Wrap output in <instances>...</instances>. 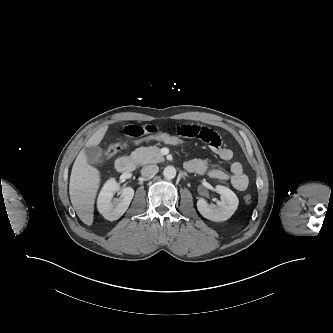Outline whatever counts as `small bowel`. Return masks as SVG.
<instances>
[{"instance_id":"c3829d8e","label":"small bowel","mask_w":333,"mask_h":333,"mask_svg":"<svg viewBox=\"0 0 333 333\" xmlns=\"http://www.w3.org/2000/svg\"><path fill=\"white\" fill-rule=\"evenodd\" d=\"M159 128L151 124H130L124 127V132L131 137H144L158 133ZM172 131L183 138H198L208 144L212 152L220 159L229 161L233 157L232 150L222 141L214 130L198 123L180 121L172 126ZM185 168L193 173L207 174L213 179L229 181L238 191H244L249 184L248 176L245 174L240 162H233L230 171L211 167L204 159H191L185 163Z\"/></svg>"}]
</instances>
